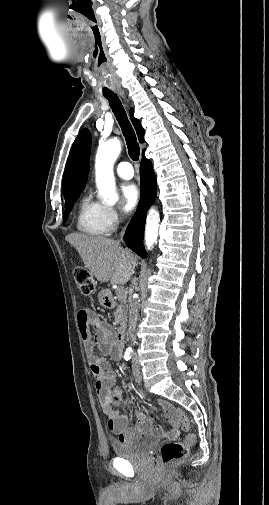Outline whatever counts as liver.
Returning a JSON list of instances; mask_svg holds the SVG:
<instances>
[{"label": "liver", "mask_w": 269, "mask_h": 505, "mask_svg": "<svg viewBox=\"0 0 269 505\" xmlns=\"http://www.w3.org/2000/svg\"><path fill=\"white\" fill-rule=\"evenodd\" d=\"M65 240L76 248L85 267L100 282L125 284L138 263L129 249L113 239L72 233Z\"/></svg>", "instance_id": "obj_1"}]
</instances>
